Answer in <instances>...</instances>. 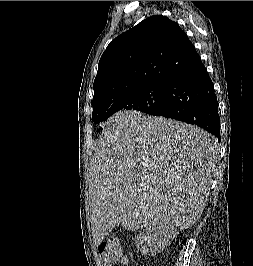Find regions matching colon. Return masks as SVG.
<instances>
[{"instance_id":"1","label":"colon","mask_w":253,"mask_h":266,"mask_svg":"<svg viewBox=\"0 0 253 266\" xmlns=\"http://www.w3.org/2000/svg\"><path fill=\"white\" fill-rule=\"evenodd\" d=\"M98 253L103 266H115L125 261L123 250L115 239L102 241Z\"/></svg>"}]
</instances>
